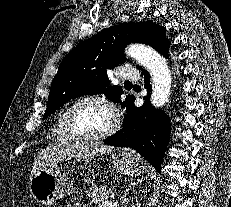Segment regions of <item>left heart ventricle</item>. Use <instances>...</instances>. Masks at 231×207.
<instances>
[{
	"mask_svg": "<svg viewBox=\"0 0 231 207\" xmlns=\"http://www.w3.org/2000/svg\"><path fill=\"white\" fill-rule=\"evenodd\" d=\"M75 127L80 133L96 135L107 130L112 123L111 112L101 104L86 102L79 105L72 114Z\"/></svg>",
	"mask_w": 231,
	"mask_h": 207,
	"instance_id": "1",
	"label": "left heart ventricle"
}]
</instances>
